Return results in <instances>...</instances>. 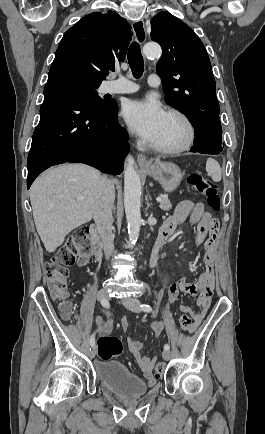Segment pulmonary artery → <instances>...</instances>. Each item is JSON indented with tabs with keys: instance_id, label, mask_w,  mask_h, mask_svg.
Returning a JSON list of instances; mask_svg holds the SVG:
<instances>
[{
	"instance_id": "e3ab8cb5",
	"label": "pulmonary artery",
	"mask_w": 265,
	"mask_h": 434,
	"mask_svg": "<svg viewBox=\"0 0 265 434\" xmlns=\"http://www.w3.org/2000/svg\"><path fill=\"white\" fill-rule=\"evenodd\" d=\"M118 79H126L120 73L116 74ZM157 76L156 75H148L146 81L148 84L157 85ZM143 83L141 81H115L114 86L108 88V92L111 94L116 93H133L136 90H141L143 88Z\"/></svg>"
}]
</instances>
